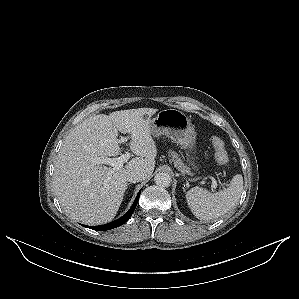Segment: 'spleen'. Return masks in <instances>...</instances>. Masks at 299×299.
<instances>
[{
  "instance_id": "3e777b00",
  "label": "spleen",
  "mask_w": 299,
  "mask_h": 299,
  "mask_svg": "<svg viewBox=\"0 0 299 299\" xmlns=\"http://www.w3.org/2000/svg\"><path fill=\"white\" fill-rule=\"evenodd\" d=\"M242 190L243 177L237 174L230 181L229 187L216 193L193 187L186 193V201L198 219L212 220L233 209L239 202Z\"/></svg>"
}]
</instances>
